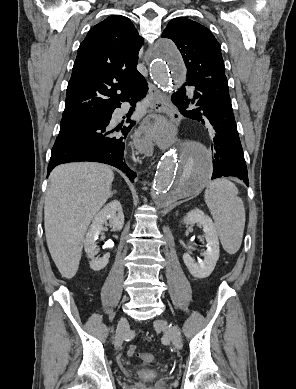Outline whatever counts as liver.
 <instances>
[{
  "label": "liver",
  "mask_w": 296,
  "mask_h": 389,
  "mask_svg": "<svg viewBox=\"0 0 296 389\" xmlns=\"http://www.w3.org/2000/svg\"><path fill=\"white\" fill-rule=\"evenodd\" d=\"M114 173L94 162L67 163L50 174L44 206L45 235L51 257L64 278L77 273L85 233L111 197Z\"/></svg>",
  "instance_id": "6515ba94"
}]
</instances>
